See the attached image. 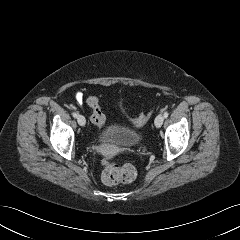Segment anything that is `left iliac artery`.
Masks as SVG:
<instances>
[{"label":"left iliac artery","mask_w":240,"mask_h":240,"mask_svg":"<svg viewBox=\"0 0 240 240\" xmlns=\"http://www.w3.org/2000/svg\"><path fill=\"white\" fill-rule=\"evenodd\" d=\"M168 115H169V113H168V112H164V118H167V117H168Z\"/></svg>","instance_id":"left-iliac-artery-1"}]
</instances>
